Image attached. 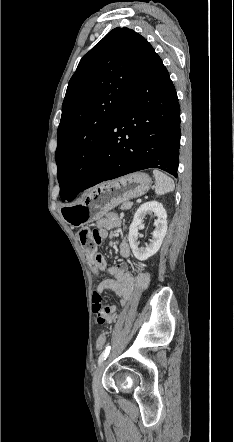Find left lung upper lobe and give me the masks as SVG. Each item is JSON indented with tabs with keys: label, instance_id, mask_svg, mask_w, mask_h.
I'll return each mask as SVG.
<instances>
[{
	"label": "left lung upper lobe",
	"instance_id": "obj_1",
	"mask_svg": "<svg viewBox=\"0 0 234 442\" xmlns=\"http://www.w3.org/2000/svg\"><path fill=\"white\" fill-rule=\"evenodd\" d=\"M154 52L140 34L118 27L80 60L67 87L57 130L63 201L76 197L84 185L124 95Z\"/></svg>",
	"mask_w": 234,
	"mask_h": 442
}]
</instances>
